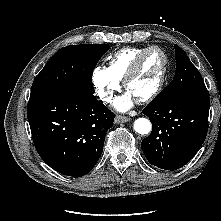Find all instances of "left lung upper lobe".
Returning <instances> with one entry per match:
<instances>
[{"label":"left lung upper lobe","instance_id":"5c2ea615","mask_svg":"<svg viewBox=\"0 0 221 221\" xmlns=\"http://www.w3.org/2000/svg\"><path fill=\"white\" fill-rule=\"evenodd\" d=\"M176 73L172 82L151 102H160L185 96L209 97L201 74L185 52L175 45Z\"/></svg>","mask_w":221,"mask_h":221}]
</instances>
